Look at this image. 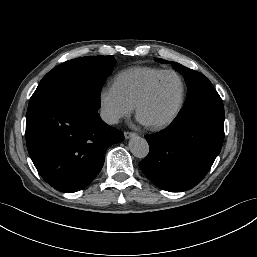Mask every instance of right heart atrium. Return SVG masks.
I'll list each match as a JSON object with an SVG mask.
<instances>
[{
	"label": "right heart atrium",
	"instance_id": "1",
	"mask_svg": "<svg viewBox=\"0 0 257 257\" xmlns=\"http://www.w3.org/2000/svg\"><path fill=\"white\" fill-rule=\"evenodd\" d=\"M99 105L102 118L110 124L128 117L134 109V105L128 102L114 86H106L100 90Z\"/></svg>",
	"mask_w": 257,
	"mask_h": 257
}]
</instances>
